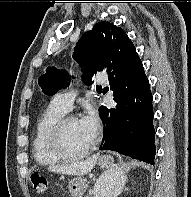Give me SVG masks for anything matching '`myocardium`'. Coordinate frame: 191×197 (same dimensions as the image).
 I'll use <instances>...</instances> for the list:
<instances>
[{
	"mask_svg": "<svg viewBox=\"0 0 191 197\" xmlns=\"http://www.w3.org/2000/svg\"><path fill=\"white\" fill-rule=\"evenodd\" d=\"M78 120L75 115H64L51 127L48 134V144L52 152L62 160H79L87 156L95 147V142H92L83 151L77 154L70 153L66 150L63 144V132L67 123Z\"/></svg>",
	"mask_w": 191,
	"mask_h": 197,
	"instance_id": "1",
	"label": "myocardium"
}]
</instances>
